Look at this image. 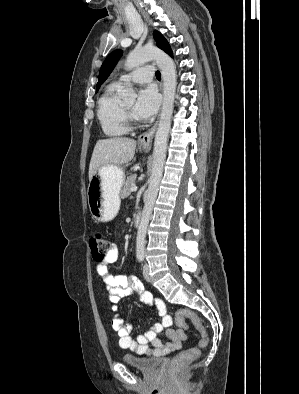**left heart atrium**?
<instances>
[{
	"label": "left heart atrium",
	"mask_w": 299,
	"mask_h": 394,
	"mask_svg": "<svg viewBox=\"0 0 299 394\" xmlns=\"http://www.w3.org/2000/svg\"><path fill=\"white\" fill-rule=\"evenodd\" d=\"M160 99L157 91L153 87L143 89L134 105V114L140 119H149L158 110Z\"/></svg>",
	"instance_id": "left-heart-atrium-1"
}]
</instances>
